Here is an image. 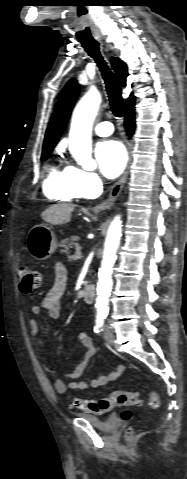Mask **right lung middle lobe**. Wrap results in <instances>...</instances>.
<instances>
[{
	"label": "right lung middle lobe",
	"mask_w": 187,
	"mask_h": 479,
	"mask_svg": "<svg viewBox=\"0 0 187 479\" xmlns=\"http://www.w3.org/2000/svg\"><path fill=\"white\" fill-rule=\"evenodd\" d=\"M52 152V150H49V151H45L42 153V157H41V160L44 161L48 158V156L50 155V153Z\"/></svg>",
	"instance_id": "obj_1"
}]
</instances>
